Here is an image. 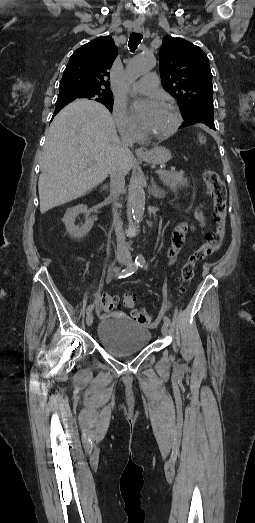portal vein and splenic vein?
<instances>
[{
	"label": "portal vein and splenic vein",
	"mask_w": 255,
	"mask_h": 523,
	"mask_svg": "<svg viewBox=\"0 0 255 523\" xmlns=\"http://www.w3.org/2000/svg\"><path fill=\"white\" fill-rule=\"evenodd\" d=\"M168 172H172V169H168L167 167H163L161 170L156 169L154 171V174L156 176H159V175L167 174Z\"/></svg>",
	"instance_id": "obj_1"
}]
</instances>
